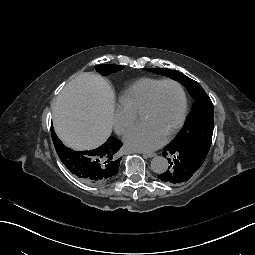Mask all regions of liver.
<instances>
[{
  "label": "liver",
  "mask_w": 255,
  "mask_h": 255,
  "mask_svg": "<svg viewBox=\"0 0 255 255\" xmlns=\"http://www.w3.org/2000/svg\"><path fill=\"white\" fill-rule=\"evenodd\" d=\"M115 95L108 83L93 73L70 81L52 107L56 133L74 150L99 147L110 136Z\"/></svg>",
  "instance_id": "1"
}]
</instances>
